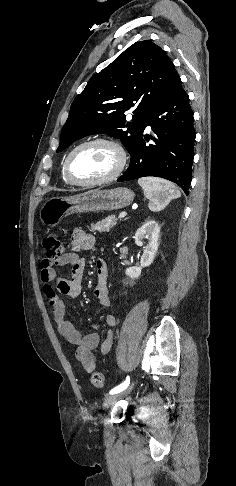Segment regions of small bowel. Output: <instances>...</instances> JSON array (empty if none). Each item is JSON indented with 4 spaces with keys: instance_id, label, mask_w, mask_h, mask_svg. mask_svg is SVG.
Returning a JSON list of instances; mask_svg holds the SVG:
<instances>
[{
    "instance_id": "c3829d8e",
    "label": "small bowel",
    "mask_w": 236,
    "mask_h": 486,
    "mask_svg": "<svg viewBox=\"0 0 236 486\" xmlns=\"http://www.w3.org/2000/svg\"><path fill=\"white\" fill-rule=\"evenodd\" d=\"M95 237L81 228H76L71 237L72 252L62 255L57 261L43 260L41 263V281L43 292L48 299L49 306L57 324L59 333L75 348V358L81 364L84 371L91 373L96 368V359L93 351L100 347L102 355L109 353L112 347V328L116 324V318L108 313L105 316L106 338L101 342L97 332L82 334L74 325L65 318V303L61 296L76 298L81 293V282L85 270V260L79 257L78 252L90 250L95 246ZM71 267L69 279L58 277L56 266ZM97 284L94 288V297L101 307L110 305L107 287L108 268L103 259L96 262ZM56 283V288L52 283Z\"/></svg>"
}]
</instances>
